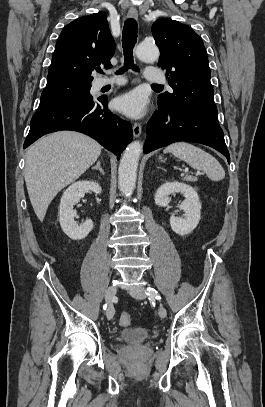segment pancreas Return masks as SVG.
Returning a JSON list of instances; mask_svg holds the SVG:
<instances>
[{"instance_id": "1", "label": "pancreas", "mask_w": 265, "mask_h": 407, "mask_svg": "<svg viewBox=\"0 0 265 407\" xmlns=\"http://www.w3.org/2000/svg\"><path fill=\"white\" fill-rule=\"evenodd\" d=\"M183 180H184V181H188V182H196V181H197V178L194 177V176H185V177L183 178Z\"/></svg>"}]
</instances>
